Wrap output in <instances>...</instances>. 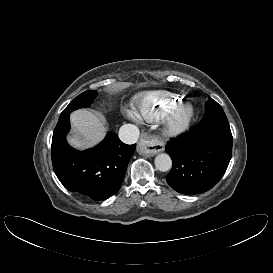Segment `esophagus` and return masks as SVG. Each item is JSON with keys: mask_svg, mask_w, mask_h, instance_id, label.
I'll use <instances>...</instances> for the list:
<instances>
[{"mask_svg": "<svg viewBox=\"0 0 273 273\" xmlns=\"http://www.w3.org/2000/svg\"><path fill=\"white\" fill-rule=\"evenodd\" d=\"M164 148V143L161 140L148 133H143L137 146V151L141 155L151 157L162 152Z\"/></svg>", "mask_w": 273, "mask_h": 273, "instance_id": "obj_1", "label": "esophagus"}]
</instances>
